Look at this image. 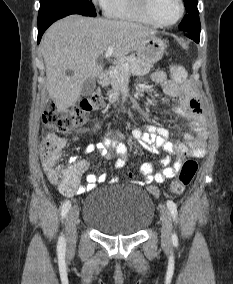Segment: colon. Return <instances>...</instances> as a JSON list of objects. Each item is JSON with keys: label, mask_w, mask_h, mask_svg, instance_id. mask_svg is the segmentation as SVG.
Returning <instances> with one entry per match:
<instances>
[{"label": "colon", "mask_w": 233, "mask_h": 284, "mask_svg": "<svg viewBox=\"0 0 233 284\" xmlns=\"http://www.w3.org/2000/svg\"><path fill=\"white\" fill-rule=\"evenodd\" d=\"M170 74L174 81L183 82L186 78L185 69L177 64L170 67ZM104 104L102 97L94 95L83 99L79 104L66 111H59L54 102L45 106L43 120L47 127L41 142V160L48 166L57 169L56 163L64 145L60 134L83 126L89 115L101 108ZM57 180L60 191L67 195L74 194L79 186L80 176L75 173H63L57 169ZM198 170L195 160H187L183 163L178 177L171 183L172 193L179 195L192 182ZM148 192L153 198H158L160 192L157 187L149 186Z\"/></svg>", "instance_id": "colon-1"}]
</instances>
